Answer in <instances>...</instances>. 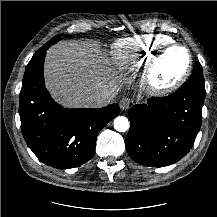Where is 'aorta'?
<instances>
[{
  "label": "aorta",
  "mask_w": 217,
  "mask_h": 217,
  "mask_svg": "<svg viewBox=\"0 0 217 217\" xmlns=\"http://www.w3.org/2000/svg\"><path fill=\"white\" fill-rule=\"evenodd\" d=\"M129 121L124 116H118L114 120V128L118 132H126L129 129Z\"/></svg>",
  "instance_id": "obj_1"
}]
</instances>
